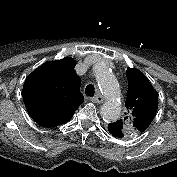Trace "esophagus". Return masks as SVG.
Wrapping results in <instances>:
<instances>
[{"label": "esophagus", "mask_w": 177, "mask_h": 177, "mask_svg": "<svg viewBox=\"0 0 177 177\" xmlns=\"http://www.w3.org/2000/svg\"><path fill=\"white\" fill-rule=\"evenodd\" d=\"M91 101L94 102V103L101 104V103H103L104 98H103L102 95L97 94L96 96H94V97L91 98Z\"/></svg>", "instance_id": "esophagus-1"}]
</instances>
